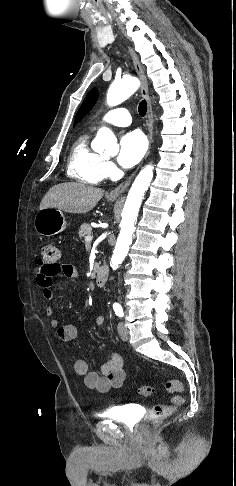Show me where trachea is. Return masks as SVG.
<instances>
[{
    "instance_id": "obj_1",
    "label": "trachea",
    "mask_w": 236,
    "mask_h": 486,
    "mask_svg": "<svg viewBox=\"0 0 236 486\" xmlns=\"http://www.w3.org/2000/svg\"><path fill=\"white\" fill-rule=\"evenodd\" d=\"M139 114L144 117L147 111V103L146 100H143L140 102L139 107H138Z\"/></svg>"
}]
</instances>
